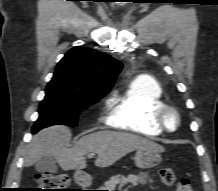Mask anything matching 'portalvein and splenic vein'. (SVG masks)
<instances>
[{
  "label": "portal vein and splenic vein",
  "instance_id": "portal-vein-and-splenic-vein-1",
  "mask_svg": "<svg viewBox=\"0 0 218 191\" xmlns=\"http://www.w3.org/2000/svg\"><path fill=\"white\" fill-rule=\"evenodd\" d=\"M88 157H89V158H92V157H94V154H93V153H92V154H89Z\"/></svg>",
  "mask_w": 218,
  "mask_h": 191
}]
</instances>
